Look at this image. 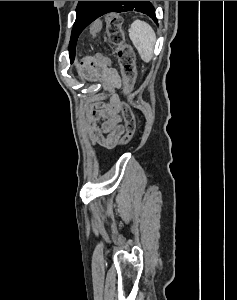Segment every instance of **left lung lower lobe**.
I'll use <instances>...</instances> for the list:
<instances>
[{
    "mask_svg": "<svg viewBox=\"0 0 237 300\" xmlns=\"http://www.w3.org/2000/svg\"><path fill=\"white\" fill-rule=\"evenodd\" d=\"M122 1H109L104 7L99 17L109 12H124L125 8L121 5Z\"/></svg>",
    "mask_w": 237,
    "mask_h": 300,
    "instance_id": "left-lung-lower-lobe-1",
    "label": "left lung lower lobe"
}]
</instances>
